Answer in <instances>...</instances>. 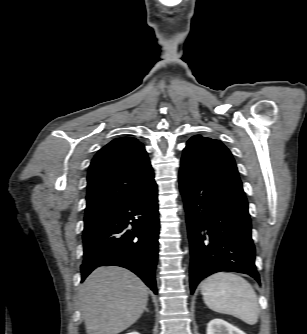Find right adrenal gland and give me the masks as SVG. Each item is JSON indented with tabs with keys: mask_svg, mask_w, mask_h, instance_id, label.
I'll use <instances>...</instances> for the list:
<instances>
[{
	"mask_svg": "<svg viewBox=\"0 0 307 334\" xmlns=\"http://www.w3.org/2000/svg\"><path fill=\"white\" fill-rule=\"evenodd\" d=\"M145 311H146V312H149L148 308H145Z\"/></svg>",
	"mask_w": 307,
	"mask_h": 334,
	"instance_id": "2a0ac1e0",
	"label": "right adrenal gland"
}]
</instances>
